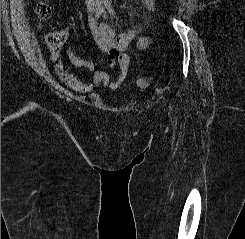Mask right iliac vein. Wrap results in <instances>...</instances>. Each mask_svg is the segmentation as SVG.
Listing matches in <instances>:
<instances>
[{"mask_svg":"<svg viewBox=\"0 0 245 239\" xmlns=\"http://www.w3.org/2000/svg\"><path fill=\"white\" fill-rule=\"evenodd\" d=\"M87 9L89 12H93L95 10V7H94V5L90 4L87 6Z\"/></svg>","mask_w":245,"mask_h":239,"instance_id":"obj_1","label":"right iliac vein"}]
</instances>
